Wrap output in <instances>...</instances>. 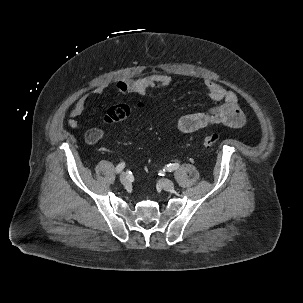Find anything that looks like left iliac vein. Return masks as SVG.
<instances>
[{
	"mask_svg": "<svg viewBox=\"0 0 303 303\" xmlns=\"http://www.w3.org/2000/svg\"><path fill=\"white\" fill-rule=\"evenodd\" d=\"M160 185L166 191H172L174 189V182L169 179H162Z\"/></svg>",
	"mask_w": 303,
	"mask_h": 303,
	"instance_id": "4c4485c4",
	"label": "left iliac vein"
}]
</instances>
